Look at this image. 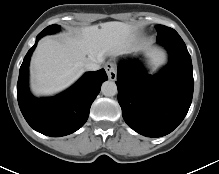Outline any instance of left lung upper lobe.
Here are the masks:
<instances>
[{
	"label": "left lung upper lobe",
	"instance_id": "left-lung-upper-lobe-1",
	"mask_svg": "<svg viewBox=\"0 0 219 174\" xmlns=\"http://www.w3.org/2000/svg\"><path fill=\"white\" fill-rule=\"evenodd\" d=\"M157 30V40H163L166 38H181L179 34L172 28L164 26V25H156L155 26Z\"/></svg>",
	"mask_w": 219,
	"mask_h": 174
}]
</instances>
